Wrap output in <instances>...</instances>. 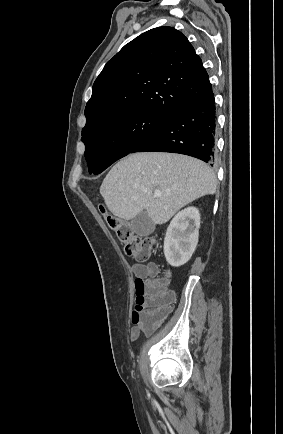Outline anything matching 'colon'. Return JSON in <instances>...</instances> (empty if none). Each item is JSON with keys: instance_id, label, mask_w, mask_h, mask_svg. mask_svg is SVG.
Segmentation results:
<instances>
[{"instance_id": "1", "label": "colon", "mask_w": 283, "mask_h": 434, "mask_svg": "<svg viewBox=\"0 0 283 434\" xmlns=\"http://www.w3.org/2000/svg\"><path fill=\"white\" fill-rule=\"evenodd\" d=\"M102 212L106 223L123 244L126 254L139 262L147 261L154 250L155 240L134 233L126 221L107 213L104 209ZM166 284L165 277L154 280L138 278L135 281L136 301L131 320L144 333L155 331L170 312L174 296Z\"/></svg>"}]
</instances>
